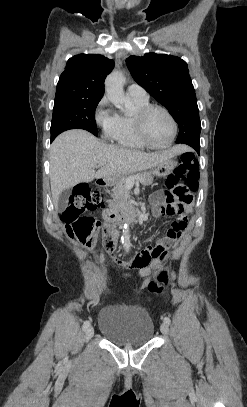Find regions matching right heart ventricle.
I'll list each match as a JSON object with an SVG mask.
<instances>
[{
  "instance_id": "right-heart-ventricle-1",
  "label": "right heart ventricle",
  "mask_w": 247,
  "mask_h": 407,
  "mask_svg": "<svg viewBox=\"0 0 247 407\" xmlns=\"http://www.w3.org/2000/svg\"><path fill=\"white\" fill-rule=\"evenodd\" d=\"M132 102V113H115V121L107 137L114 141L118 146L128 149L142 150L146 146L141 143L135 133L133 115L138 109L147 106L148 100L142 101L132 99Z\"/></svg>"
}]
</instances>
